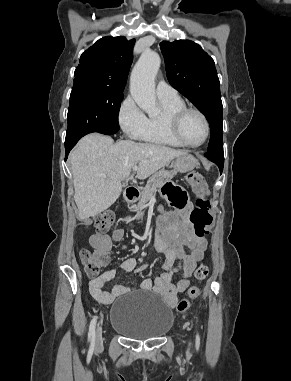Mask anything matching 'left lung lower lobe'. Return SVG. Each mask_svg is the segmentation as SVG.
Instances as JSON below:
<instances>
[{
    "label": "left lung lower lobe",
    "mask_w": 291,
    "mask_h": 381,
    "mask_svg": "<svg viewBox=\"0 0 291 381\" xmlns=\"http://www.w3.org/2000/svg\"><path fill=\"white\" fill-rule=\"evenodd\" d=\"M209 160L217 164L220 169V173L223 171L224 164V154L223 153H205L204 154Z\"/></svg>",
    "instance_id": "1"
}]
</instances>
